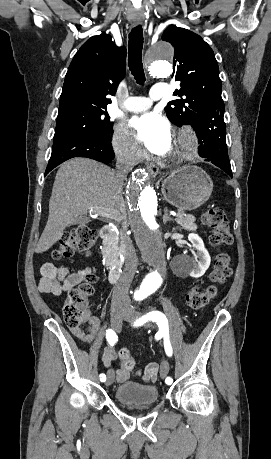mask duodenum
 <instances>
[{
	"label": "duodenum",
	"instance_id": "duodenum-1",
	"mask_svg": "<svg viewBox=\"0 0 271 459\" xmlns=\"http://www.w3.org/2000/svg\"><path fill=\"white\" fill-rule=\"evenodd\" d=\"M100 238L106 242L110 241L113 235V229L110 225H104L99 230ZM120 278V270L113 266L109 273L111 283H116Z\"/></svg>",
	"mask_w": 271,
	"mask_h": 459
}]
</instances>
